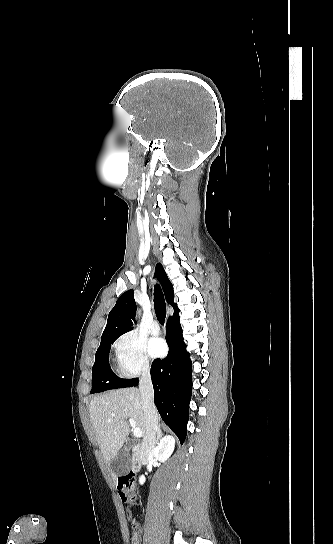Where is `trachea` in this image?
I'll list each match as a JSON object with an SVG mask.
<instances>
[{
    "label": "trachea",
    "mask_w": 333,
    "mask_h": 544,
    "mask_svg": "<svg viewBox=\"0 0 333 544\" xmlns=\"http://www.w3.org/2000/svg\"><path fill=\"white\" fill-rule=\"evenodd\" d=\"M154 309L158 321L163 325L166 318V303L164 295L158 286H156L154 293Z\"/></svg>",
    "instance_id": "3493384b"
}]
</instances>
